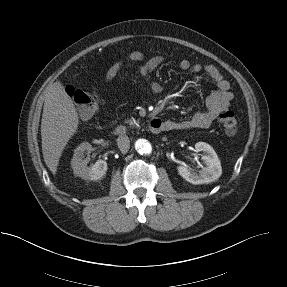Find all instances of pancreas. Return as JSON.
I'll return each instance as SVG.
<instances>
[{"label": "pancreas", "mask_w": 287, "mask_h": 287, "mask_svg": "<svg viewBox=\"0 0 287 287\" xmlns=\"http://www.w3.org/2000/svg\"><path fill=\"white\" fill-rule=\"evenodd\" d=\"M125 123L129 124L130 127H135V126H139V122L136 121L134 118L125 120Z\"/></svg>", "instance_id": "obj_1"}]
</instances>
